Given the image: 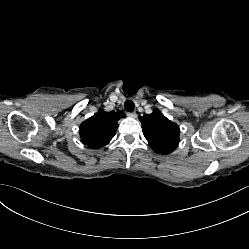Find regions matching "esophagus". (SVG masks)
Listing matches in <instances>:
<instances>
[{
	"label": "esophagus",
	"instance_id": "esophagus-1",
	"mask_svg": "<svg viewBox=\"0 0 249 249\" xmlns=\"http://www.w3.org/2000/svg\"><path fill=\"white\" fill-rule=\"evenodd\" d=\"M127 115L131 118H136L137 117V114L135 112H130V113H127Z\"/></svg>",
	"mask_w": 249,
	"mask_h": 249
}]
</instances>
